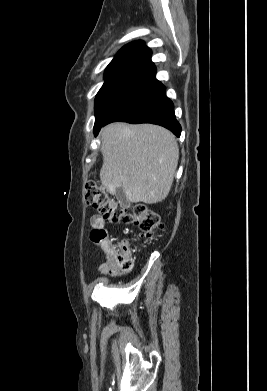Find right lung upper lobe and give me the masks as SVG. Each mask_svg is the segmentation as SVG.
<instances>
[{
    "mask_svg": "<svg viewBox=\"0 0 267 391\" xmlns=\"http://www.w3.org/2000/svg\"><path fill=\"white\" fill-rule=\"evenodd\" d=\"M155 74L151 50L141 40L131 42L120 49L105 71V77L135 75L154 78Z\"/></svg>",
    "mask_w": 267,
    "mask_h": 391,
    "instance_id": "obj_1",
    "label": "right lung upper lobe"
}]
</instances>
